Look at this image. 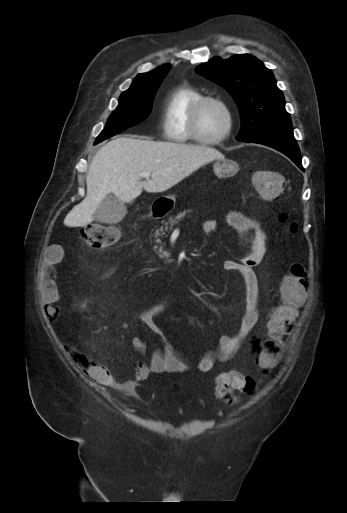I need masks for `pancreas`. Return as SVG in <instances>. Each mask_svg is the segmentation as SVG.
Wrapping results in <instances>:
<instances>
[{
	"mask_svg": "<svg viewBox=\"0 0 347 513\" xmlns=\"http://www.w3.org/2000/svg\"><path fill=\"white\" fill-rule=\"evenodd\" d=\"M191 212L190 210H184L183 212H179L176 216H169L167 218V221L165 222L164 226H161L159 229L155 232V237L161 236L164 234L165 231H167L169 228H172L175 224H178L180 221H182L186 214ZM157 242H160L157 240ZM159 252L161 253L160 256H165L167 252H163L162 247H160Z\"/></svg>",
	"mask_w": 347,
	"mask_h": 513,
	"instance_id": "1",
	"label": "pancreas"
}]
</instances>
